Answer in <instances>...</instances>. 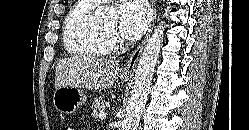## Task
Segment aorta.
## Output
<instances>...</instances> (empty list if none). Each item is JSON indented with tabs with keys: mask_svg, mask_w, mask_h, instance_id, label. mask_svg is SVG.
<instances>
[{
	"mask_svg": "<svg viewBox=\"0 0 249 130\" xmlns=\"http://www.w3.org/2000/svg\"><path fill=\"white\" fill-rule=\"evenodd\" d=\"M95 16L99 20L110 21L116 18V12L114 8L103 5L96 10ZM163 25L164 22H161L157 26L140 57L135 73L131 98L127 106V113L122 123V130L138 129L164 37Z\"/></svg>",
	"mask_w": 249,
	"mask_h": 130,
	"instance_id": "obj_1",
	"label": "aorta"
}]
</instances>
